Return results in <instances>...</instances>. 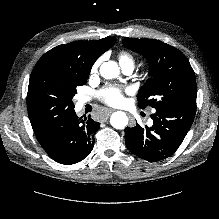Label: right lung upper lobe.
<instances>
[{
	"label": "right lung upper lobe",
	"mask_w": 219,
	"mask_h": 219,
	"mask_svg": "<svg viewBox=\"0 0 219 219\" xmlns=\"http://www.w3.org/2000/svg\"><path fill=\"white\" fill-rule=\"evenodd\" d=\"M115 42L116 39L106 37L100 40L74 41L56 46L39 59L34 69L51 65L58 73L77 78L88 77L94 62Z\"/></svg>",
	"instance_id": "obj_1"
}]
</instances>
